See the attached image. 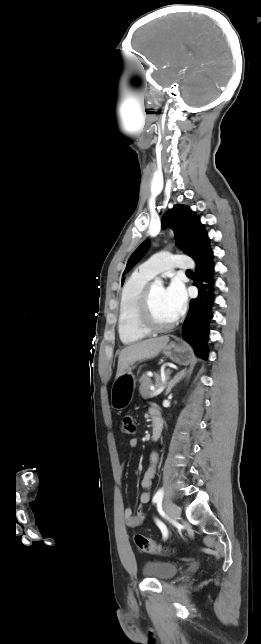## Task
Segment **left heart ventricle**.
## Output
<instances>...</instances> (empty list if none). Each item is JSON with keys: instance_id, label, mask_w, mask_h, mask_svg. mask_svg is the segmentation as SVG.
<instances>
[{"instance_id": "obj_1", "label": "left heart ventricle", "mask_w": 261, "mask_h": 644, "mask_svg": "<svg viewBox=\"0 0 261 644\" xmlns=\"http://www.w3.org/2000/svg\"><path fill=\"white\" fill-rule=\"evenodd\" d=\"M151 311L153 319L158 324H168L174 320L172 313L164 298L162 286H151Z\"/></svg>"}]
</instances>
